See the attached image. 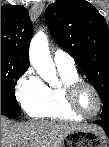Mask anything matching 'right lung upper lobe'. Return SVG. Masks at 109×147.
Returning a JSON list of instances; mask_svg holds the SVG:
<instances>
[{
    "mask_svg": "<svg viewBox=\"0 0 109 147\" xmlns=\"http://www.w3.org/2000/svg\"><path fill=\"white\" fill-rule=\"evenodd\" d=\"M33 26L23 5L1 7V54L29 67L28 48Z\"/></svg>",
    "mask_w": 109,
    "mask_h": 147,
    "instance_id": "cb5924a9",
    "label": "right lung upper lobe"
}]
</instances>
